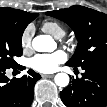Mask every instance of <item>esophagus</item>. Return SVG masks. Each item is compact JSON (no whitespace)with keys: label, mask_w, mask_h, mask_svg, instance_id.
<instances>
[{"label":"esophagus","mask_w":107,"mask_h":107,"mask_svg":"<svg viewBox=\"0 0 107 107\" xmlns=\"http://www.w3.org/2000/svg\"><path fill=\"white\" fill-rule=\"evenodd\" d=\"M54 74H42L43 78H52Z\"/></svg>","instance_id":"34e87169"}]
</instances>
